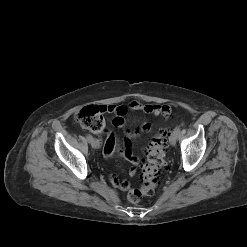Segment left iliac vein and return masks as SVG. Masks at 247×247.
<instances>
[{"label": "left iliac vein", "mask_w": 247, "mask_h": 247, "mask_svg": "<svg viewBox=\"0 0 247 247\" xmlns=\"http://www.w3.org/2000/svg\"><path fill=\"white\" fill-rule=\"evenodd\" d=\"M179 133H176L175 131H172L170 136H169V142L172 146H174L177 142Z\"/></svg>", "instance_id": "1"}]
</instances>
